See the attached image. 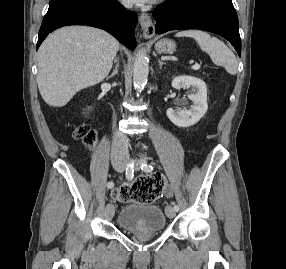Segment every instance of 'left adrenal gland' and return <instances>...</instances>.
Returning <instances> with one entry per match:
<instances>
[{"label":"left adrenal gland","instance_id":"obj_1","mask_svg":"<svg viewBox=\"0 0 286 269\" xmlns=\"http://www.w3.org/2000/svg\"><path fill=\"white\" fill-rule=\"evenodd\" d=\"M158 63H159V68L161 69V68H162V65L164 64V62L161 61V60H158Z\"/></svg>","mask_w":286,"mask_h":269}]
</instances>
